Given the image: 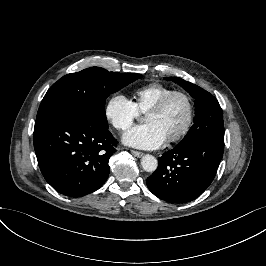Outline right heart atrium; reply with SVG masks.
<instances>
[{
  "mask_svg": "<svg viewBox=\"0 0 266 266\" xmlns=\"http://www.w3.org/2000/svg\"><path fill=\"white\" fill-rule=\"evenodd\" d=\"M104 116L115 129L125 131L132 126L135 119L139 116V111L133 101L127 96L115 93L106 100Z\"/></svg>",
  "mask_w": 266,
  "mask_h": 266,
  "instance_id": "1",
  "label": "right heart atrium"
}]
</instances>
